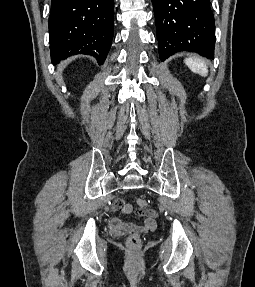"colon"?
I'll list each match as a JSON object with an SVG mask.
<instances>
[{"label": "colon", "mask_w": 255, "mask_h": 287, "mask_svg": "<svg viewBox=\"0 0 255 287\" xmlns=\"http://www.w3.org/2000/svg\"><path fill=\"white\" fill-rule=\"evenodd\" d=\"M137 204L139 205V207L144 208L146 207L147 202L144 199H138ZM139 243H140V236L137 233H134L128 237L127 244L129 247L135 248L139 245Z\"/></svg>", "instance_id": "obj_1"}]
</instances>
